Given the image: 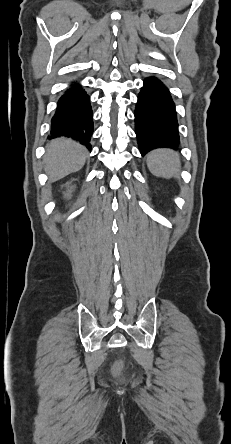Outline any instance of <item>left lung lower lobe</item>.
<instances>
[{"label":"left lung lower lobe","instance_id":"left-lung-lower-lobe-1","mask_svg":"<svg viewBox=\"0 0 231 444\" xmlns=\"http://www.w3.org/2000/svg\"><path fill=\"white\" fill-rule=\"evenodd\" d=\"M134 115L135 132L143 156L155 148H178L180 141L175 104L168 88L157 78L144 80Z\"/></svg>","mask_w":231,"mask_h":444}]
</instances>
